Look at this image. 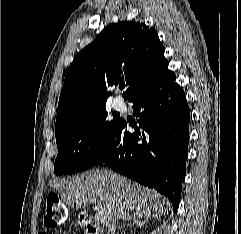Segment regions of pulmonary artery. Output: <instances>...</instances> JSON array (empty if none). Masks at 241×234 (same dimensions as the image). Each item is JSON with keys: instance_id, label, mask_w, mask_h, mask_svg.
I'll use <instances>...</instances> for the list:
<instances>
[{"instance_id": "obj_1", "label": "pulmonary artery", "mask_w": 241, "mask_h": 234, "mask_svg": "<svg viewBox=\"0 0 241 234\" xmlns=\"http://www.w3.org/2000/svg\"><path fill=\"white\" fill-rule=\"evenodd\" d=\"M113 106L116 110H122L125 106L124 101L120 97H116L113 100Z\"/></svg>"}]
</instances>
